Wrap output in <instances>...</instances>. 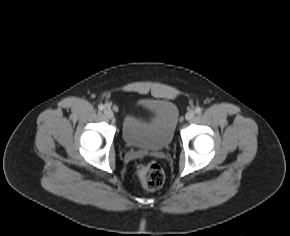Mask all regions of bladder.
Listing matches in <instances>:
<instances>
[{"label":"bladder","mask_w":290,"mask_h":236,"mask_svg":"<svg viewBox=\"0 0 290 236\" xmlns=\"http://www.w3.org/2000/svg\"><path fill=\"white\" fill-rule=\"evenodd\" d=\"M144 104L150 108L146 116L137 114L133 108L127 111L122 123V140L132 148L150 151L164 150L173 141L178 110L169 101H153Z\"/></svg>","instance_id":"obj_1"}]
</instances>
